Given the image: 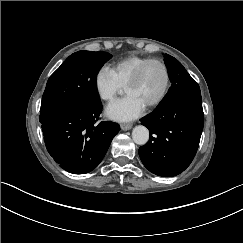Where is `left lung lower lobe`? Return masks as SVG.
Listing matches in <instances>:
<instances>
[{"label":"left lung lower lobe","instance_id":"left-lung-lower-lobe-1","mask_svg":"<svg viewBox=\"0 0 243 243\" xmlns=\"http://www.w3.org/2000/svg\"><path fill=\"white\" fill-rule=\"evenodd\" d=\"M140 121L150 132L149 141L139 148L142 163L158 176H176L190 165L199 146L204 124L201 93H175Z\"/></svg>","mask_w":243,"mask_h":243}]
</instances>
